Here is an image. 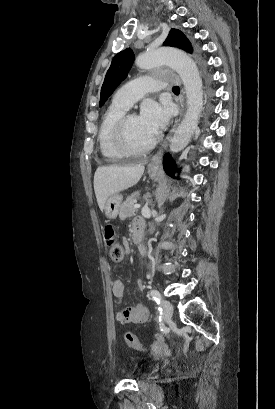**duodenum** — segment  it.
<instances>
[{"label": "duodenum", "instance_id": "obj_1", "mask_svg": "<svg viewBox=\"0 0 275 409\" xmlns=\"http://www.w3.org/2000/svg\"><path fill=\"white\" fill-rule=\"evenodd\" d=\"M144 234V225L142 222H137L133 226V241L139 243Z\"/></svg>", "mask_w": 275, "mask_h": 409}]
</instances>
